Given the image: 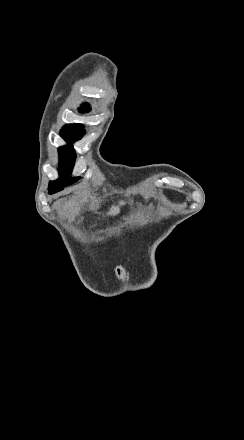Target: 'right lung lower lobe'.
<instances>
[{"label": "right lung lower lobe", "instance_id": "right-lung-lower-lobe-1", "mask_svg": "<svg viewBox=\"0 0 244 440\" xmlns=\"http://www.w3.org/2000/svg\"><path fill=\"white\" fill-rule=\"evenodd\" d=\"M63 188L64 187H59V186H49V188H48V192H49V194H54V193H56V192H58V191H61V190H63Z\"/></svg>", "mask_w": 244, "mask_h": 440}]
</instances>
